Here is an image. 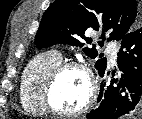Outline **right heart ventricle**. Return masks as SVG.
<instances>
[{
  "label": "right heart ventricle",
  "mask_w": 142,
  "mask_h": 119,
  "mask_svg": "<svg viewBox=\"0 0 142 119\" xmlns=\"http://www.w3.org/2000/svg\"><path fill=\"white\" fill-rule=\"evenodd\" d=\"M62 62L56 51H46L35 56L26 66L20 83V101L24 110L34 115H44L47 109L42 101V90L51 71Z\"/></svg>",
  "instance_id": "1"
}]
</instances>
